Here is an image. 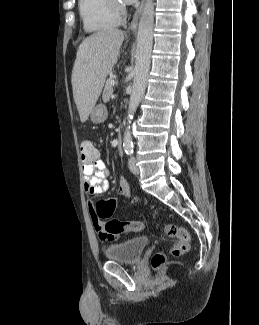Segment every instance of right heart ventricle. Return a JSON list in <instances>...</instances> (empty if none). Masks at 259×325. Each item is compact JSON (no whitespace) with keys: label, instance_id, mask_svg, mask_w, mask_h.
I'll use <instances>...</instances> for the list:
<instances>
[{"label":"right heart ventricle","instance_id":"obj_1","mask_svg":"<svg viewBox=\"0 0 259 325\" xmlns=\"http://www.w3.org/2000/svg\"><path fill=\"white\" fill-rule=\"evenodd\" d=\"M78 7L83 27L87 32H102L120 23V16L111 0H79Z\"/></svg>","mask_w":259,"mask_h":325}]
</instances>
